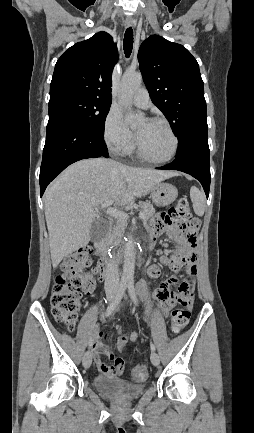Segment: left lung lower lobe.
<instances>
[{"instance_id": "left-lung-lower-lobe-1", "label": "left lung lower lobe", "mask_w": 254, "mask_h": 433, "mask_svg": "<svg viewBox=\"0 0 254 433\" xmlns=\"http://www.w3.org/2000/svg\"><path fill=\"white\" fill-rule=\"evenodd\" d=\"M157 169L178 170L190 174L202 184L208 198L211 180L208 141L191 142L177 151L172 163Z\"/></svg>"}]
</instances>
